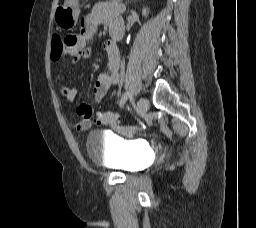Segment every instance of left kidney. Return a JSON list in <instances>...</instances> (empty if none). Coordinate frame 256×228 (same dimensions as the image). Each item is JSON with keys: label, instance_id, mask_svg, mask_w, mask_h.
<instances>
[{"label": "left kidney", "instance_id": "obj_1", "mask_svg": "<svg viewBox=\"0 0 256 228\" xmlns=\"http://www.w3.org/2000/svg\"><path fill=\"white\" fill-rule=\"evenodd\" d=\"M148 13H149V9H148V8H144V9L142 10V15H143V16L147 17Z\"/></svg>", "mask_w": 256, "mask_h": 228}]
</instances>
